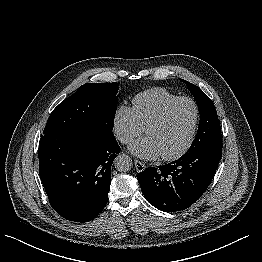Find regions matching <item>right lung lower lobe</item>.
<instances>
[{"label":"right lung lower lobe","mask_w":262,"mask_h":262,"mask_svg":"<svg viewBox=\"0 0 262 262\" xmlns=\"http://www.w3.org/2000/svg\"><path fill=\"white\" fill-rule=\"evenodd\" d=\"M120 150L113 134L42 135L39 174L52 208L70 221L95 218L107 203L111 165Z\"/></svg>","instance_id":"right-lung-lower-lobe-1"}]
</instances>
